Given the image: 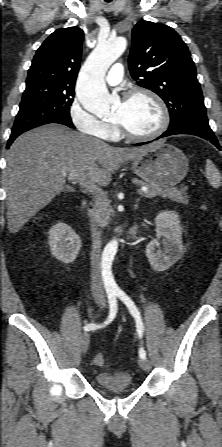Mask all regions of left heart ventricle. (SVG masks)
I'll use <instances>...</instances> for the list:
<instances>
[{
    "instance_id": "obj_1",
    "label": "left heart ventricle",
    "mask_w": 222,
    "mask_h": 447,
    "mask_svg": "<svg viewBox=\"0 0 222 447\" xmlns=\"http://www.w3.org/2000/svg\"><path fill=\"white\" fill-rule=\"evenodd\" d=\"M114 120L123 123L132 133L144 135L159 127L161 115L157 105L149 97L139 95L122 101L115 110Z\"/></svg>"
}]
</instances>
